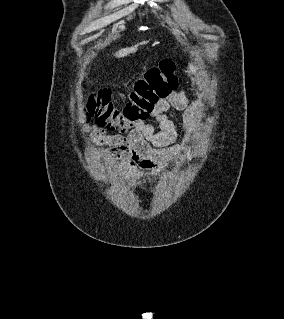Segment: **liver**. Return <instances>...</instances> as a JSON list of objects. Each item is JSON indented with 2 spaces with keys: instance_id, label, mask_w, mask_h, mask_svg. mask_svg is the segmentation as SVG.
I'll return each mask as SVG.
<instances>
[{
  "instance_id": "6515ba94",
  "label": "liver",
  "mask_w": 284,
  "mask_h": 319,
  "mask_svg": "<svg viewBox=\"0 0 284 319\" xmlns=\"http://www.w3.org/2000/svg\"><path fill=\"white\" fill-rule=\"evenodd\" d=\"M146 43H147V41H143V42L135 44L131 47H126V48L120 49L119 51H117L114 54V56L116 58L126 57V56L130 55L131 53H135L137 51L139 45L146 44Z\"/></svg>"
}]
</instances>
